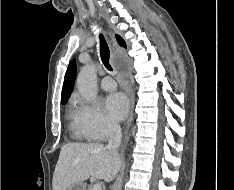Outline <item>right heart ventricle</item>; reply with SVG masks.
<instances>
[{
  "mask_svg": "<svg viewBox=\"0 0 234 190\" xmlns=\"http://www.w3.org/2000/svg\"><path fill=\"white\" fill-rule=\"evenodd\" d=\"M68 115H69V117L72 119V126L74 127V128H76L77 129V126H76V123H75V120H74V110L73 109H70L69 111H68ZM78 130V129H77ZM78 133H79V135H82L79 131H78ZM83 136V135H82Z\"/></svg>",
  "mask_w": 234,
  "mask_h": 190,
  "instance_id": "1",
  "label": "right heart ventricle"
}]
</instances>
